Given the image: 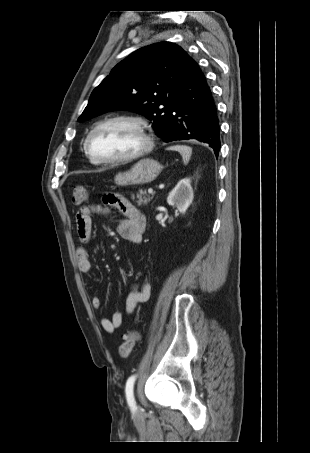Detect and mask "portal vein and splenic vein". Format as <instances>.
<instances>
[{
    "mask_svg": "<svg viewBox=\"0 0 310 453\" xmlns=\"http://www.w3.org/2000/svg\"><path fill=\"white\" fill-rule=\"evenodd\" d=\"M148 193H149V194H153V189H152V188H149V189H148Z\"/></svg>",
    "mask_w": 310,
    "mask_h": 453,
    "instance_id": "18ae733b",
    "label": "portal vein and splenic vein"
}]
</instances>
